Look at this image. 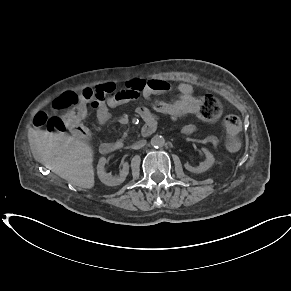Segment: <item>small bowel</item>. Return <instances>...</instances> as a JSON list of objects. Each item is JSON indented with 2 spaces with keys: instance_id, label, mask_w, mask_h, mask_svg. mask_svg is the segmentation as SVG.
Segmentation results:
<instances>
[{
  "instance_id": "c3829d8e",
  "label": "small bowel",
  "mask_w": 291,
  "mask_h": 291,
  "mask_svg": "<svg viewBox=\"0 0 291 291\" xmlns=\"http://www.w3.org/2000/svg\"><path fill=\"white\" fill-rule=\"evenodd\" d=\"M171 89V84L163 79H149L132 78L127 83L124 89L116 91L111 97L95 102L92 107L96 110V119L98 123L103 124L110 118V108H115L121 104H124L130 100L136 99L140 96L149 98L154 94H162ZM178 98H195L193 95V88L188 83H180L177 86ZM177 98V99H178ZM176 100L172 102L159 101L155 104L156 111L167 114L169 116L179 118L190 115L189 107H178ZM137 112L145 119L151 117L152 120H156L159 117L158 113H151L146 107H139ZM195 126L188 124L183 127V132L189 134L193 132Z\"/></svg>"
}]
</instances>
